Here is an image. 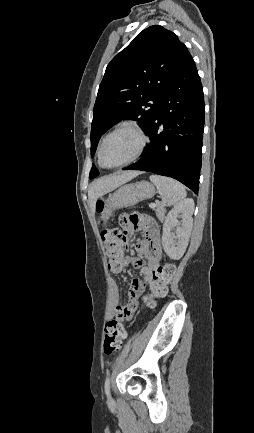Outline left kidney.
Listing matches in <instances>:
<instances>
[{
	"mask_svg": "<svg viewBox=\"0 0 254 433\" xmlns=\"http://www.w3.org/2000/svg\"><path fill=\"white\" fill-rule=\"evenodd\" d=\"M193 212L194 201L189 198L174 205L165 219L162 246L171 259L179 260L186 251L193 225ZM178 216H181V222L178 221Z\"/></svg>",
	"mask_w": 254,
	"mask_h": 433,
	"instance_id": "left-kidney-1",
	"label": "left kidney"
}]
</instances>
